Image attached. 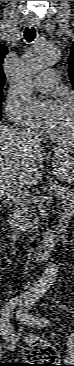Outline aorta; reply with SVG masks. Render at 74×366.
<instances>
[{"mask_svg": "<svg viewBox=\"0 0 74 366\" xmlns=\"http://www.w3.org/2000/svg\"><path fill=\"white\" fill-rule=\"evenodd\" d=\"M60 58V49L53 44L38 41L22 57L19 63L15 87L19 94L38 105L32 82L43 69L54 66Z\"/></svg>", "mask_w": 74, "mask_h": 366, "instance_id": "762f6f07", "label": "aorta"}]
</instances>
